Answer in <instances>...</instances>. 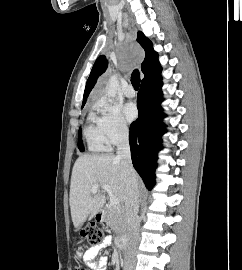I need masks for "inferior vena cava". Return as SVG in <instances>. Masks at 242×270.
Wrapping results in <instances>:
<instances>
[{"label": "inferior vena cava", "mask_w": 242, "mask_h": 270, "mask_svg": "<svg viewBox=\"0 0 242 270\" xmlns=\"http://www.w3.org/2000/svg\"><path fill=\"white\" fill-rule=\"evenodd\" d=\"M117 158L121 160L123 176L126 183L124 218L127 224L128 244L125 251V268L134 266L135 248L139 239L138 198L139 189L136 172L133 168L129 146V132H122L117 145Z\"/></svg>", "instance_id": "obj_1"}]
</instances>
